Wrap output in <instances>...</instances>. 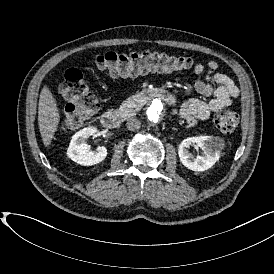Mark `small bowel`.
Returning a JSON list of instances; mask_svg holds the SVG:
<instances>
[{
	"mask_svg": "<svg viewBox=\"0 0 274 274\" xmlns=\"http://www.w3.org/2000/svg\"><path fill=\"white\" fill-rule=\"evenodd\" d=\"M218 67V63L213 60L208 61L206 65H194L195 91L203 96L212 95L213 98L209 101L189 99L181 105L179 115L188 126L207 120L212 113L230 106L239 96L237 85L229 76L218 72Z\"/></svg>",
	"mask_w": 274,
	"mask_h": 274,
	"instance_id": "small-bowel-1",
	"label": "small bowel"
}]
</instances>
